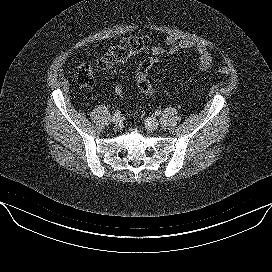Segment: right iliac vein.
Segmentation results:
<instances>
[{
	"label": "right iliac vein",
	"instance_id": "right-iliac-vein-1",
	"mask_svg": "<svg viewBox=\"0 0 272 272\" xmlns=\"http://www.w3.org/2000/svg\"><path fill=\"white\" fill-rule=\"evenodd\" d=\"M120 121H121L120 116H113V117H112V122H113L114 124H118V123H120Z\"/></svg>",
	"mask_w": 272,
	"mask_h": 272
}]
</instances>
